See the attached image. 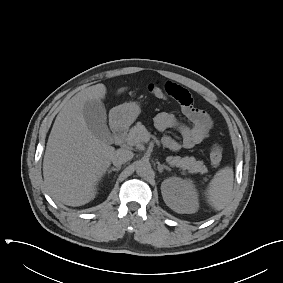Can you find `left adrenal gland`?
<instances>
[{
	"label": "left adrenal gland",
	"mask_w": 283,
	"mask_h": 283,
	"mask_svg": "<svg viewBox=\"0 0 283 283\" xmlns=\"http://www.w3.org/2000/svg\"><path fill=\"white\" fill-rule=\"evenodd\" d=\"M157 169L159 173H162L164 169L171 171V169L168 166H166L165 164H160V163H158Z\"/></svg>",
	"instance_id": "obj_1"
}]
</instances>
